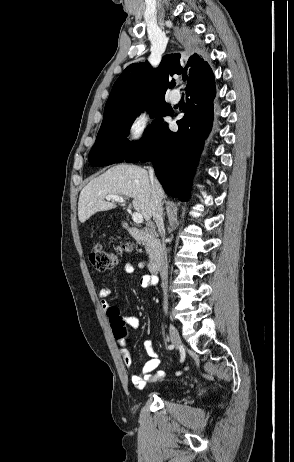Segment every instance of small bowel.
I'll return each mask as SVG.
<instances>
[{"instance_id":"1","label":"small bowel","mask_w":294,"mask_h":462,"mask_svg":"<svg viewBox=\"0 0 294 462\" xmlns=\"http://www.w3.org/2000/svg\"><path fill=\"white\" fill-rule=\"evenodd\" d=\"M145 266H146V263L139 264L140 268H143ZM134 270H135V267L132 263H127L123 267V271L126 274H132ZM158 282H159V278L155 275H145L140 280V284L142 287L155 286L158 284ZM99 295L101 298L106 299L107 297L111 295V288L109 286H104L100 290ZM102 306L106 311L110 307H112V305L106 300L102 301ZM122 317H123L125 324L129 325L130 327L137 329L140 326L139 318L134 317V316H122ZM115 338L120 348V352L122 354L126 367L128 369H131L133 363H132V359L130 357V353L128 350V343H127L126 338L119 337L116 335H115ZM143 345H144L147 355L149 356V359L143 365L141 371L138 374H133L131 376V381L133 385L138 389H142L145 387L146 384L156 382L165 376L164 371L159 370V371L154 372L158 368L160 360L158 358L156 351L153 348L151 341L145 340ZM181 373H182L181 371H178L177 375H180Z\"/></svg>"}]
</instances>
